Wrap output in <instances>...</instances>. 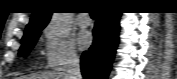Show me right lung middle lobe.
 <instances>
[{
  "instance_id": "1",
  "label": "right lung middle lobe",
  "mask_w": 177,
  "mask_h": 79,
  "mask_svg": "<svg viewBox=\"0 0 177 79\" xmlns=\"http://www.w3.org/2000/svg\"><path fill=\"white\" fill-rule=\"evenodd\" d=\"M39 35L40 31H37L30 35L28 38L22 40L19 56L26 57L29 54L30 50L34 47Z\"/></svg>"
}]
</instances>
